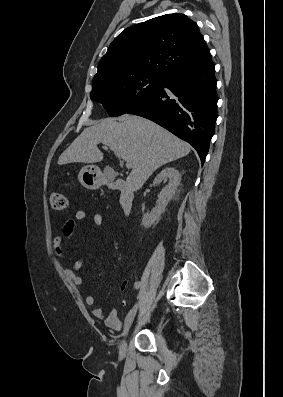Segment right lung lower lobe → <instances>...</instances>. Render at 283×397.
<instances>
[{"instance_id": "98d812e1", "label": "right lung lower lobe", "mask_w": 283, "mask_h": 397, "mask_svg": "<svg viewBox=\"0 0 283 397\" xmlns=\"http://www.w3.org/2000/svg\"><path fill=\"white\" fill-rule=\"evenodd\" d=\"M214 67L211 60L171 74L154 95L127 113L150 119L190 143L203 164L218 117Z\"/></svg>"}]
</instances>
